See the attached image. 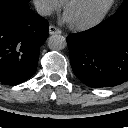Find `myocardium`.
<instances>
[{"mask_svg": "<svg viewBox=\"0 0 128 128\" xmlns=\"http://www.w3.org/2000/svg\"><path fill=\"white\" fill-rule=\"evenodd\" d=\"M77 0H66L65 4H64V11L67 14V11L69 10V8L76 2ZM115 3V0H108V2L106 3V5L104 6V8L92 19L88 20V21H84V22H73V25L80 30H86V29H90L96 25H98L105 17L106 15L109 13V11L111 10V8L113 7Z\"/></svg>", "mask_w": 128, "mask_h": 128, "instance_id": "1", "label": "myocardium"}]
</instances>
